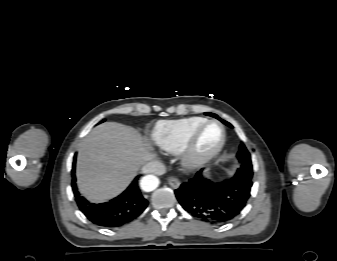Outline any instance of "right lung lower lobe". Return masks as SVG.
<instances>
[{
    "instance_id": "1",
    "label": "right lung lower lobe",
    "mask_w": 337,
    "mask_h": 261,
    "mask_svg": "<svg viewBox=\"0 0 337 261\" xmlns=\"http://www.w3.org/2000/svg\"><path fill=\"white\" fill-rule=\"evenodd\" d=\"M72 189L79 209L94 224L115 228L136 219L147 207L148 201L142 196L138 187L139 176L118 197L106 203H89L80 196L76 186L75 158L72 169Z\"/></svg>"
}]
</instances>
